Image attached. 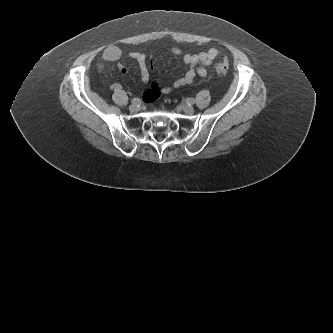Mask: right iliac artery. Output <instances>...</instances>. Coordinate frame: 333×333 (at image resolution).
Segmentation results:
<instances>
[{"label": "right iliac artery", "instance_id": "right-iliac-artery-1", "mask_svg": "<svg viewBox=\"0 0 333 333\" xmlns=\"http://www.w3.org/2000/svg\"><path fill=\"white\" fill-rule=\"evenodd\" d=\"M132 103L139 104V103H140V99H138V98H133V99H132Z\"/></svg>", "mask_w": 333, "mask_h": 333}]
</instances>
